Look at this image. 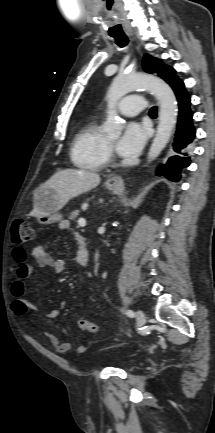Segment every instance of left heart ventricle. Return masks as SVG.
<instances>
[{
    "label": "left heart ventricle",
    "mask_w": 215,
    "mask_h": 433,
    "mask_svg": "<svg viewBox=\"0 0 215 433\" xmlns=\"http://www.w3.org/2000/svg\"><path fill=\"white\" fill-rule=\"evenodd\" d=\"M109 140L111 143H116L118 140V137H112V138H109Z\"/></svg>",
    "instance_id": "obj_1"
}]
</instances>
